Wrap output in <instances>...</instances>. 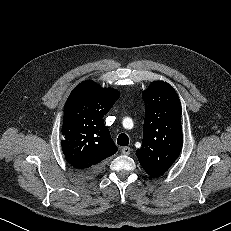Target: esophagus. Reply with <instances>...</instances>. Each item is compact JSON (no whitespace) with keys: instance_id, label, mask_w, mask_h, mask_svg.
Here are the masks:
<instances>
[{"instance_id":"obj_1","label":"esophagus","mask_w":231,"mask_h":231,"mask_svg":"<svg viewBox=\"0 0 231 231\" xmlns=\"http://www.w3.org/2000/svg\"><path fill=\"white\" fill-rule=\"evenodd\" d=\"M121 152L124 154V155H129L130 152H131V148L130 147H123L121 149Z\"/></svg>"}]
</instances>
